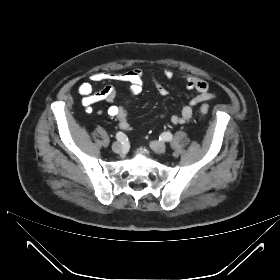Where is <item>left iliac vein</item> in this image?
I'll return each mask as SVG.
<instances>
[{
	"mask_svg": "<svg viewBox=\"0 0 280 280\" xmlns=\"http://www.w3.org/2000/svg\"><path fill=\"white\" fill-rule=\"evenodd\" d=\"M150 147L154 152L159 153V154H162L166 151V145L164 142L151 141Z\"/></svg>",
	"mask_w": 280,
	"mask_h": 280,
	"instance_id": "1",
	"label": "left iliac vein"
}]
</instances>
